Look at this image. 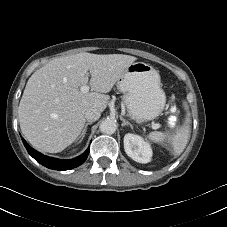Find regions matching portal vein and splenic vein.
<instances>
[{
  "label": "portal vein and splenic vein",
  "instance_id": "obj_1",
  "mask_svg": "<svg viewBox=\"0 0 227 227\" xmlns=\"http://www.w3.org/2000/svg\"><path fill=\"white\" fill-rule=\"evenodd\" d=\"M89 89H90V87L88 85H83V86H81L80 91L82 93H87V92H89ZM151 127H152V129H159L161 127V125L159 123H154V124H152Z\"/></svg>",
  "mask_w": 227,
  "mask_h": 227
}]
</instances>
